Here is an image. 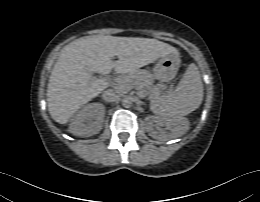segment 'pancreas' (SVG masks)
Here are the masks:
<instances>
[{
	"label": "pancreas",
	"instance_id": "pancreas-1",
	"mask_svg": "<svg viewBox=\"0 0 260 202\" xmlns=\"http://www.w3.org/2000/svg\"><path fill=\"white\" fill-rule=\"evenodd\" d=\"M153 75L147 70H135L114 81L113 87L120 93H126L132 88H137L139 93L149 99L156 98L161 88L159 84L154 85Z\"/></svg>",
	"mask_w": 260,
	"mask_h": 202
}]
</instances>
